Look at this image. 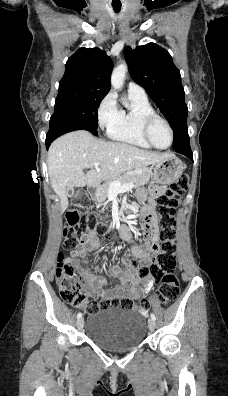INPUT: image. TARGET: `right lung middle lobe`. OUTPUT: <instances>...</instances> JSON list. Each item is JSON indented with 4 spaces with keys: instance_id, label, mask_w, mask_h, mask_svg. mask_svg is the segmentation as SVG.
Returning a JSON list of instances; mask_svg holds the SVG:
<instances>
[{
    "instance_id": "dd1d6c3e",
    "label": "right lung middle lobe",
    "mask_w": 228,
    "mask_h": 396,
    "mask_svg": "<svg viewBox=\"0 0 228 396\" xmlns=\"http://www.w3.org/2000/svg\"><path fill=\"white\" fill-rule=\"evenodd\" d=\"M107 93L76 87L59 88L50 121H62L97 135L98 107Z\"/></svg>"
}]
</instances>
